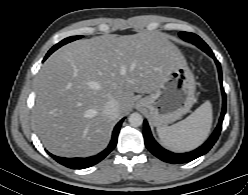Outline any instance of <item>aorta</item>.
<instances>
[{
    "mask_svg": "<svg viewBox=\"0 0 248 195\" xmlns=\"http://www.w3.org/2000/svg\"><path fill=\"white\" fill-rule=\"evenodd\" d=\"M128 121L131 126L139 127L143 123V117L140 113L134 112L129 116Z\"/></svg>",
    "mask_w": 248,
    "mask_h": 195,
    "instance_id": "obj_1",
    "label": "aorta"
}]
</instances>
